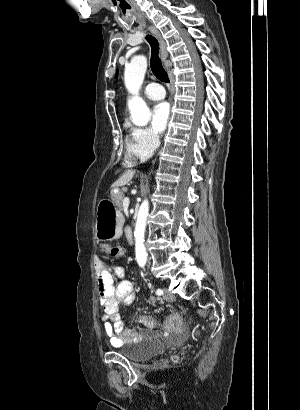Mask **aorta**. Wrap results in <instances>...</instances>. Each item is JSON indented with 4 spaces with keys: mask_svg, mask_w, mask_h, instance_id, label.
Returning a JSON list of instances; mask_svg holds the SVG:
<instances>
[{
    "mask_svg": "<svg viewBox=\"0 0 300 410\" xmlns=\"http://www.w3.org/2000/svg\"><path fill=\"white\" fill-rule=\"evenodd\" d=\"M147 69V59L144 56H135L126 66L124 82L129 93L132 94L128 101V108L132 122L137 126L148 124L151 113L144 100L139 96L144 76ZM149 213V202L144 199L140 205L135 224V254L138 265L143 268L147 262V251L144 245L145 229Z\"/></svg>",
    "mask_w": 300,
    "mask_h": 410,
    "instance_id": "1",
    "label": "aorta"
}]
</instances>
